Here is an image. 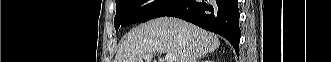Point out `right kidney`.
Listing matches in <instances>:
<instances>
[{
	"instance_id": "1",
	"label": "right kidney",
	"mask_w": 331,
	"mask_h": 62,
	"mask_svg": "<svg viewBox=\"0 0 331 62\" xmlns=\"http://www.w3.org/2000/svg\"><path fill=\"white\" fill-rule=\"evenodd\" d=\"M206 62H212V60H206Z\"/></svg>"
}]
</instances>
